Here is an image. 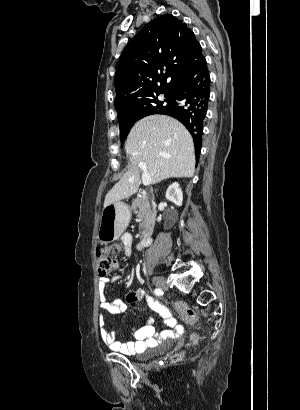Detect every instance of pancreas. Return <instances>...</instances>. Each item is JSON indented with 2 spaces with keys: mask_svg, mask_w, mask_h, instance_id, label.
I'll return each instance as SVG.
<instances>
[{
  "mask_svg": "<svg viewBox=\"0 0 300 410\" xmlns=\"http://www.w3.org/2000/svg\"><path fill=\"white\" fill-rule=\"evenodd\" d=\"M131 209L137 214L139 224L140 234L142 236H147L152 233L155 214L151 210V205L145 196L136 198L131 206Z\"/></svg>",
  "mask_w": 300,
  "mask_h": 410,
  "instance_id": "1",
  "label": "pancreas"
}]
</instances>
